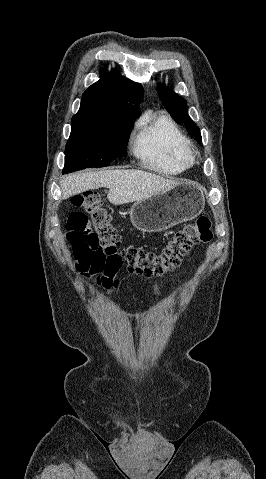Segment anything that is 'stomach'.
Instances as JSON below:
<instances>
[{"label": "stomach", "mask_w": 266, "mask_h": 479, "mask_svg": "<svg viewBox=\"0 0 266 479\" xmlns=\"http://www.w3.org/2000/svg\"><path fill=\"white\" fill-rule=\"evenodd\" d=\"M203 188L182 182L147 199L136 201L130 209L132 225L142 232H161L196 218L204 209Z\"/></svg>", "instance_id": "obj_1"}]
</instances>
